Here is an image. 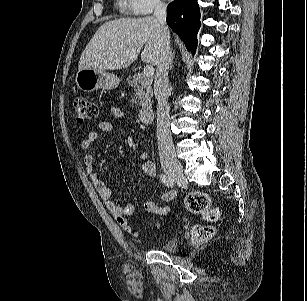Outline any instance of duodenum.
<instances>
[{"mask_svg": "<svg viewBox=\"0 0 307 301\" xmlns=\"http://www.w3.org/2000/svg\"><path fill=\"white\" fill-rule=\"evenodd\" d=\"M154 116L152 104L143 105L139 110V120L142 124H150Z\"/></svg>", "mask_w": 307, "mask_h": 301, "instance_id": "410a0bca", "label": "duodenum"}]
</instances>
